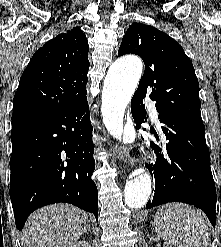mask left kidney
Here are the masks:
<instances>
[{
	"instance_id": "obj_1",
	"label": "left kidney",
	"mask_w": 221,
	"mask_h": 247,
	"mask_svg": "<svg viewBox=\"0 0 221 247\" xmlns=\"http://www.w3.org/2000/svg\"><path fill=\"white\" fill-rule=\"evenodd\" d=\"M151 240H152V241H158V238H152ZM165 247H171V246L166 245Z\"/></svg>"
}]
</instances>
